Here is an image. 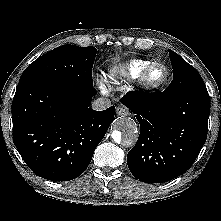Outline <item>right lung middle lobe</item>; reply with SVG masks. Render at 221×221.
Returning a JSON list of instances; mask_svg holds the SVG:
<instances>
[{"label": "right lung middle lobe", "mask_w": 221, "mask_h": 221, "mask_svg": "<svg viewBox=\"0 0 221 221\" xmlns=\"http://www.w3.org/2000/svg\"><path fill=\"white\" fill-rule=\"evenodd\" d=\"M94 47L62 45L42 55L22 73L25 78H43L93 86Z\"/></svg>", "instance_id": "right-lung-middle-lobe-1"}]
</instances>
